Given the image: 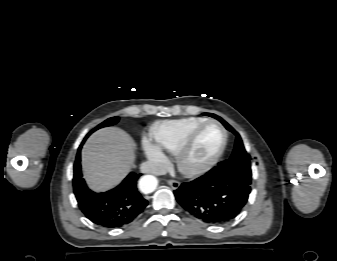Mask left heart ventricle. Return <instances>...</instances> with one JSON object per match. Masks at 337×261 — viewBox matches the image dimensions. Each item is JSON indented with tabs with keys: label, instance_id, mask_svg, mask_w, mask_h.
<instances>
[{
	"label": "left heart ventricle",
	"instance_id": "obj_1",
	"mask_svg": "<svg viewBox=\"0 0 337 261\" xmlns=\"http://www.w3.org/2000/svg\"><path fill=\"white\" fill-rule=\"evenodd\" d=\"M222 142V133L215 125L202 129L196 137L187 156L188 166H198L210 159L219 149Z\"/></svg>",
	"mask_w": 337,
	"mask_h": 261
}]
</instances>
